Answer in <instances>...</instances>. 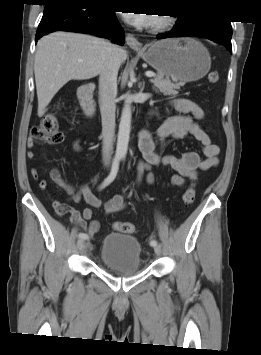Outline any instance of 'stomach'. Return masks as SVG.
Listing matches in <instances>:
<instances>
[{"mask_svg":"<svg viewBox=\"0 0 261 355\" xmlns=\"http://www.w3.org/2000/svg\"><path fill=\"white\" fill-rule=\"evenodd\" d=\"M142 58L161 76L181 83L203 78L211 68V57L206 47L189 38L156 41L140 51Z\"/></svg>","mask_w":261,"mask_h":355,"instance_id":"1","label":"stomach"}]
</instances>
